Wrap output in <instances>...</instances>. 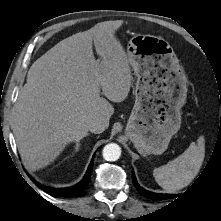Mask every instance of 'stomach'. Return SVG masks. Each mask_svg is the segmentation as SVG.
Returning a JSON list of instances; mask_svg holds the SVG:
<instances>
[{"label":"stomach","instance_id":"obj_1","mask_svg":"<svg viewBox=\"0 0 221 221\" xmlns=\"http://www.w3.org/2000/svg\"><path fill=\"white\" fill-rule=\"evenodd\" d=\"M127 55L137 81L126 136L140 154H162L181 127L186 76L164 38L135 35L128 42Z\"/></svg>","mask_w":221,"mask_h":221}]
</instances>
